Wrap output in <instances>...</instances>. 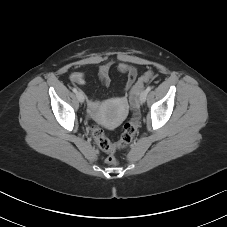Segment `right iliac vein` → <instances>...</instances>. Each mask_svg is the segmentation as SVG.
I'll return each instance as SVG.
<instances>
[{
	"instance_id": "63e3f726",
	"label": "right iliac vein",
	"mask_w": 227,
	"mask_h": 227,
	"mask_svg": "<svg viewBox=\"0 0 227 227\" xmlns=\"http://www.w3.org/2000/svg\"><path fill=\"white\" fill-rule=\"evenodd\" d=\"M76 97H77L78 101L81 103L84 102V100H85V95L82 91H78L76 93Z\"/></svg>"
}]
</instances>
